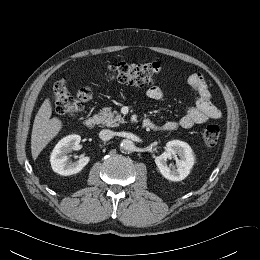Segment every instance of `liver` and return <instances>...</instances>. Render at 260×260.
Masks as SVG:
<instances>
[{
    "mask_svg": "<svg viewBox=\"0 0 260 260\" xmlns=\"http://www.w3.org/2000/svg\"><path fill=\"white\" fill-rule=\"evenodd\" d=\"M51 115L52 105L47 98L39 108L33 123L31 153L34 160L62 128L61 120L57 117L50 119Z\"/></svg>",
    "mask_w": 260,
    "mask_h": 260,
    "instance_id": "6515ba94",
    "label": "liver"
}]
</instances>
